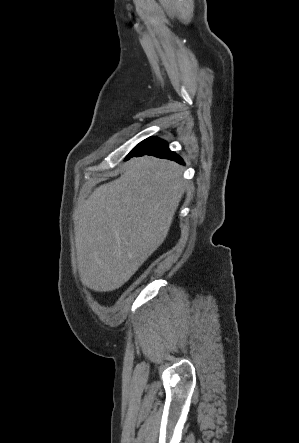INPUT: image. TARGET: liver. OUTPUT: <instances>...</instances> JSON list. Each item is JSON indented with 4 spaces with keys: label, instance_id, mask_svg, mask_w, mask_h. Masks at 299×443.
<instances>
[{
    "label": "liver",
    "instance_id": "1",
    "mask_svg": "<svg viewBox=\"0 0 299 443\" xmlns=\"http://www.w3.org/2000/svg\"><path fill=\"white\" fill-rule=\"evenodd\" d=\"M185 192L182 168L145 156L83 204L75 237L83 285L110 292L126 283L164 242Z\"/></svg>",
    "mask_w": 299,
    "mask_h": 443
}]
</instances>
